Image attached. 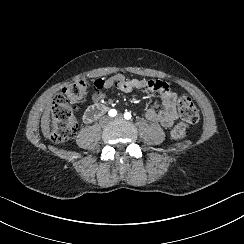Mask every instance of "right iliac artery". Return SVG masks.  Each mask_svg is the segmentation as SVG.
<instances>
[{"instance_id": "obj_1", "label": "right iliac artery", "mask_w": 244, "mask_h": 244, "mask_svg": "<svg viewBox=\"0 0 244 244\" xmlns=\"http://www.w3.org/2000/svg\"><path fill=\"white\" fill-rule=\"evenodd\" d=\"M109 116L111 117H115L117 115V111L115 109H111L109 112H108Z\"/></svg>"}]
</instances>
